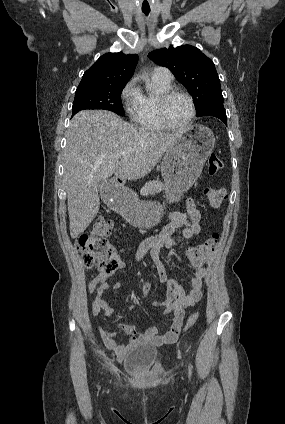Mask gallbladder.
Instances as JSON below:
<instances>
[{"instance_id": "bac80fb5", "label": "gallbladder", "mask_w": 285, "mask_h": 424, "mask_svg": "<svg viewBox=\"0 0 285 424\" xmlns=\"http://www.w3.org/2000/svg\"><path fill=\"white\" fill-rule=\"evenodd\" d=\"M110 181L108 179L101 180L98 184V190L102 193L104 191V188L108 185H110Z\"/></svg>"}]
</instances>
